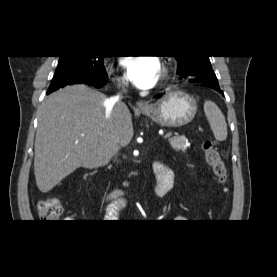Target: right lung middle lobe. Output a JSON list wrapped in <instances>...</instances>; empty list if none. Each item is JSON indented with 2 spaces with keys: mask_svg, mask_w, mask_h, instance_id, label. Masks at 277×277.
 I'll return each mask as SVG.
<instances>
[{
  "mask_svg": "<svg viewBox=\"0 0 277 277\" xmlns=\"http://www.w3.org/2000/svg\"><path fill=\"white\" fill-rule=\"evenodd\" d=\"M103 58L104 56H60L48 91H55L69 83L83 80L104 84L107 73Z\"/></svg>",
  "mask_w": 277,
  "mask_h": 277,
  "instance_id": "obj_1",
  "label": "right lung middle lobe"
}]
</instances>
